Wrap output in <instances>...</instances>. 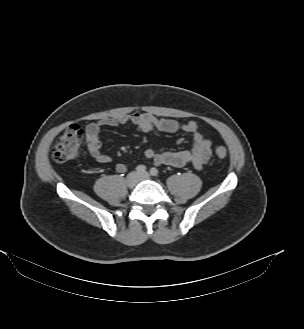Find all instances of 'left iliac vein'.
I'll return each instance as SVG.
<instances>
[{
    "mask_svg": "<svg viewBox=\"0 0 304 329\" xmlns=\"http://www.w3.org/2000/svg\"><path fill=\"white\" fill-rule=\"evenodd\" d=\"M138 179H139V181L147 180V179H150V175L147 172H145V173L139 174Z\"/></svg>",
    "mask_w": 304,
    "mask_h": 329,
    "instance_id": "4c4485c4",
    "label": "left iliac vein"
}]
</instances>
